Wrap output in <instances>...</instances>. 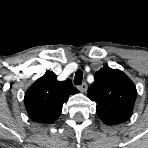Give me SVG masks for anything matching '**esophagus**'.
<instances>
[{"instance_id":"esophagus-1","label":"esophagus","mask_w":148,"mask_h":148,"mask_svg":"<svg viewBox=\"0 0 148 148\" xmlns=\"http://www.w3.org/2000/svg\"><path fill=\"white\" fill-rule=\"evenodd\" d=\"M78 89L81 92H85L87 90V84L86 83H83L82 85L78 86Z\"/></svg>"}]
</instances>
